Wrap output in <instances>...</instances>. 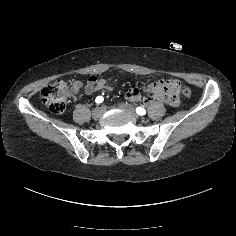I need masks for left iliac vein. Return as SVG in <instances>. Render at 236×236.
<instances>
[{
	"instance_id": "4c4485c4",
	"label": "left iliac vein",
	"mask_w": 236,
	"mask_h": 236,
	"mask_svg": "<svg viewBox=\"0 0 236 236\" xmlns=\"http://www.w3.org/2000/svg\"><path fill=\"white\" fill-rule=\"evenodd\" d=\"M119 107L124 109L125 111H127L128 113L131 114V116L134 118V119H139V115L135 112L134 108L132 105L130 104H127V103H120L119 104Z\"/></svg>"
}]
</instances>
